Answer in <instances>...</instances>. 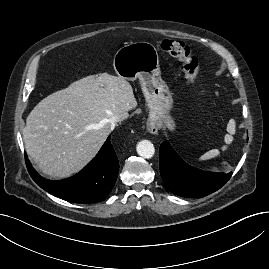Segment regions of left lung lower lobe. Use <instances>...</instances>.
<instances>
[{
    "mask_svg": "<svg viewBox=\"0 0 269 269\" xmlns=\"http://www.w3.org/2000/svg\"><path fill=\"white\" fill-rule=\"evenodd\" d=\"M160 173L163 182L174 194L182 197H202L221 188L232 172H206L187 165L164 141L159 150Z\"/></svg>",
    "mask_w": 269,
    "mask_h": 269,
    "instance_id": "obj_1",
    "label": "left lung lower lobe"
}]
</instances>
